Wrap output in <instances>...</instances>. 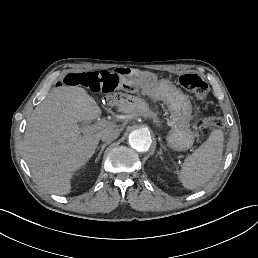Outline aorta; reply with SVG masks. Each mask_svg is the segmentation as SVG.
<instances>
[{
	"label": "aorta",
	"mask_w": 258,
	"mask_h": 258,
	"mask_svg": "<svg viewBox=\"0 0 258 258\" xmlns=\"http://www.w3.org/2000/svg\"><path fill=\"white\" fill-rule=\"evenodd\" d=\"M151 143V134L147 129H136L129 134V144L138 152L148 151Z\"/></svg>",
	"instance_id": "aorta-1"
}]
</instances>
